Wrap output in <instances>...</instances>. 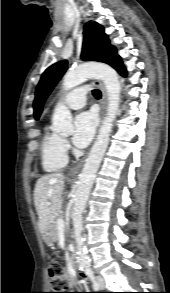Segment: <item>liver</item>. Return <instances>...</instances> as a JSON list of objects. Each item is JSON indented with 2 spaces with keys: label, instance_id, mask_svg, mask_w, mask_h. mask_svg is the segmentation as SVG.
<instances>
[{
  "label": "liver",
  "instance_id": "liver-1",
  "mask_svg": "<svg viewBox=\"0 0 170 293\" xmlns=\"http://www.w3.org/2000/svg\"><path fill=\"white\" fill-rule=\"evenodd\" d=\"M64 186L65 177L62 173L44 175L36 182L34 204L39 218L38 226L41 234L51 228V224L62 209Z\"/></svg>",
  "mask_w": 170,
  "mask_h": 293
}]
</instances>
